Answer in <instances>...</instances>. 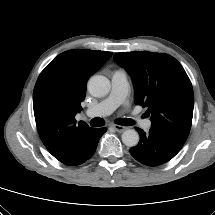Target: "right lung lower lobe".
I'll list each match as a JSON object with an SVG mask.
<instances>
[{
	"instance_id": "obj_1",
	"label": "right lung lower lobe",
	"mask_w": 215,
	"mask_h": 215,
	"mask_svg": "<svg viewBox=\"0 0 215 215\" xmlns=\"http://www.w3.org/2000/svg\"><path fill=\"white\" fill-rule=\"evenodd\" d=\"M107 128L94 129L91 135L85 140L84 147L79 157L71 166H76L87 161L95 152L100 137L106 132Z\"/></svg>"
}]
</instances>
